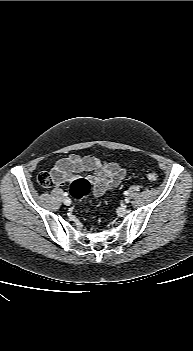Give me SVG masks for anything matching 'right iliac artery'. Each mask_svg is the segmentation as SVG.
Returning <instances> with one entry per match:
<instances>
[{
	"label": "right iliac artery",
	"mask_w": 193,
	"mask_h": 351,
	"mask_svg": "<svg viewBox=\"0 0 193 351\" xmlns=\"http://www.w3.org/2000/svg\"><path fill=\"white\" fill-rule=\"evenodd\" d=\"M63 195H64V196H67V195H68V193H67V192H64V193H63Z\"/></svg>",
	"instance_id": "1"
}]
</instances>
